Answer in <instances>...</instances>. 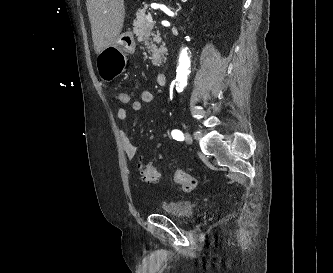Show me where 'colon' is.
Instances as JSON below:
<instances>
[{
  "label": "colon",
  "mask_w": 333,
  "mask_h": 273,
  "mask_svg": "<svg viewBox=\"0 0 333 273\" xmlns=\"http://www.w3.org/2000/svg\"><path fill=\"white\" fill-rule=\"evenodd\" d=\"M116 100L122 104H128L131 101V97L126 92H118L116 94ZM141 178L148 183H155L159 180V171L149 165L140 166ZM171 181L180 186L181 190L184 192H191L197 186V180L190 174L184 171H176L171 177Z\"/></svg>",
  "instance_id": "1"
}]
</instances>
